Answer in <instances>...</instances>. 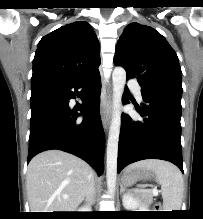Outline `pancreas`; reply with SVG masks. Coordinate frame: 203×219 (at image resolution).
<instances>
[{
  "mask_svg": "<svg viewBox=\"0 0 203 219\" xmlns=\"http://www.w3.org/2000/svg\"><path fill=\"white\" fill-rule=\"evenodd\" d=\"M138 197L147 204H151L153 202V195L150 193L143 192L139 194Z\"/></svg>",
  "mask_w": 203,
  "mask_h": 219,
  "instance_id": "pancreas-1",
  "label": "pancreas"
}]
</instances>
